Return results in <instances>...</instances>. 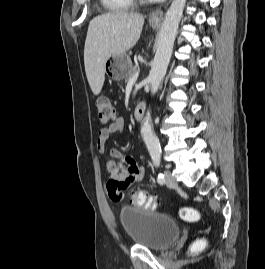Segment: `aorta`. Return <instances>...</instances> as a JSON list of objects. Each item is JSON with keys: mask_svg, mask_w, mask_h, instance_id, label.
Returning <instances> with one entry per match:
<instances>
[{"mask_svg": "<svg viewBox=\"0 0 265 269\" xmlns=\"http://www.w3.org/2000/svg\"><path fill=\"white\" fill-rule=\"evenodd\" d=\"M185 4L186 0H173L166 12L157 43L155 57L148 76L151 93L153 95L158 91L160 83L166 74ZM152 127L150 115L145 116L141 126V134L151 158L158 159L160 158L161 147Z\"/></svg>", "mask_w": 265, "mask_h": 269, "instance_id": "obj_1", "label": "aorta"}]
</instances>
